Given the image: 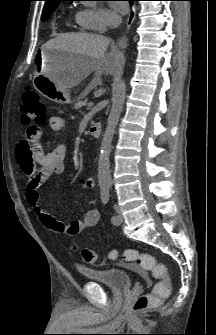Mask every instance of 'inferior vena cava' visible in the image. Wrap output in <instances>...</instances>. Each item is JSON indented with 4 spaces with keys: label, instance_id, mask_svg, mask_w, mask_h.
I'll return each instance as SVG.
<instances>
[{
    "label": "inferior vena cava",
    "instance_id": "obj_1",
    "mask_svg": "<svg viewBox=\"0 0 216 335\" xmlns=\"http://www.w3.org/2000/svg\"><path fill=\"white\" fill-rule=\"evenodd\" d=\"M121 23V19L120 18H116L113 22V27H118Z\"/></svg>",
    "mask_w": 216,
    "mask_h": 335
}]
</instances>
